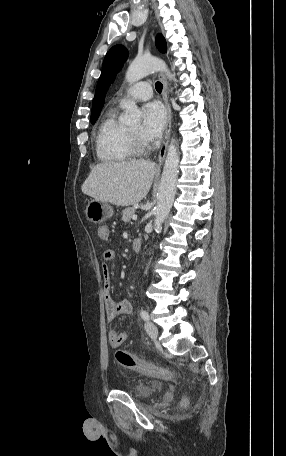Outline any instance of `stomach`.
<instances>
[{"label": "stomach", "mask_w": 286, "mask_h": 456, "mask_svg": "<svg viewBox=\"0 0 286 456\" xmlns=\"http://www.w3.org/2000/svg\"><path fill=\"white\" fill-rule=\"evenodd\" d=\"M85 213L89 221L98 224L111 218L114 214V210L112 206L106 202L92 200L88 203Z\"/></svg>", "instance_id": "stomach-1"}]
</instances>
